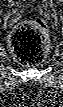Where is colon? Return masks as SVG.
I'll return each instance as SVG.
<instances>
[{
	"label": "colon",
	"mask_w": 63,
	"mask_h": 107,
	"mask_svg": "<svg viewBox=\"0 0 63 107\" xmlns=\"http://www.w3.org/2000/svg\"><path fill=\"white\" fill-rule=\"evenodd\" d=\"M10 43L19 62L25 65L40 63L46 56L49 44L45 22L36 19L18 26L12 32Z\"/></svg>",
	"instance_id": "obj_1"
}]
</instances>
